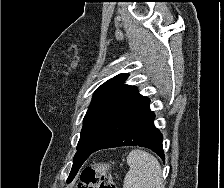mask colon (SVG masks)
I'll use <instances>...</instances> for the list:
<instances>
[{"instance_id":"5ec220e1","label":"colon","mask_w":224,"mask_h":188,"mask_svg":"<svg viewBox=\"0 0 224 188\" xmlns=\"http://www.w3.org/2000/svg\"><path fill=\"white\" fill-rule=\"evenodd\" d=\"M76 188H117L109 177L99 175L92 167H86L79 176Z\"/></svg>"}]
</instances>
